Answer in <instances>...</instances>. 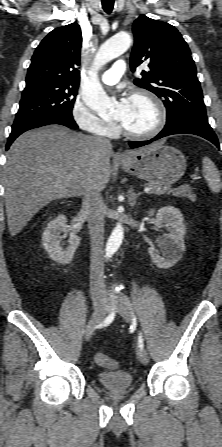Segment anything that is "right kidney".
I'll return each instance as SVG.
<instances>
[{
	"label": "right kidney",
	"mask_w": 222,
	"mask_h": 447,
	"mask_svg": "<svg viewBox=\"0 0 222 447\" xmlns=\"http://www.w3.org/2000/svg\"><path fill=\"white\" fill-rule=\"evenodd\" d=\"M67 218L65 215H58L51 220L42 234V245L47 251L49 257L59 264H69L72 261L74 253L80 243V238L70 233L68 246L63 248L61 246L60 234L62 232H69L67 225Z\"/></svg>",
	"instance_id": "1"
}]
</instances>
